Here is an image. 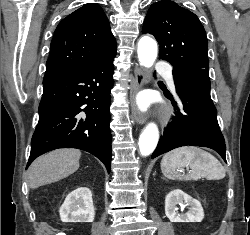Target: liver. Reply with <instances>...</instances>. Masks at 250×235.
Wrapping results in <instances>:
<instances>
[{
    "mask_svg": "<svg viewBox=\"0 0 250 235\" xmlns=\"http://www.w3.org/2000/svg\"><path fill=\"white\" fill-rule=\"evenodd\" d=\"M81 152L76 149H58L37 158L28 171L32 189L56 182L76 172Z\"/></svg>",
    "mask_w": 250,
    "mask_h": 235,
    "instance_id": "1",
    "label": "liver"
}]
</instances>
